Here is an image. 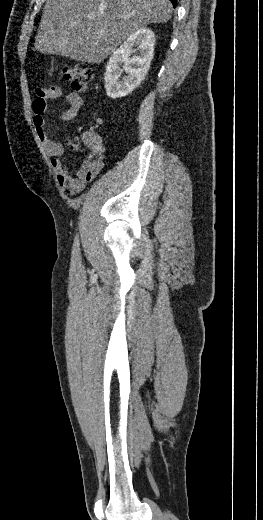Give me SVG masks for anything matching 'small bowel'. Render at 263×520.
I'll list each match as a JSON object with an SVG mask.
<instances>
[{
  "label": "small bowel",
  "instance_id": "1",
  "mask_svg": "<svg viewBox=\"0 0 263 520\" xmlns=\"http://www.w3.org/2000/svg\"><path fill=\"white\" fill-rule=\"evenodd\" d=\"M62 96L63 91L59 86L36 88L35 98L32 103L33 125L51 160V165L59 185L66 193L73 195L82 191L100 173L103 168L104 150L100 135L94 131H88L83 135L84 143L89 148L86 159L73 171L63 164L61 156L64 153V147L61 143L52 140L47 135L44 117L48 102ZM64 98L67 108L62 112L61 119L71 121L77 117L84 100L79 94L74 92L66 94Z\"/></svg>",
  "mask_w": 263,
  "mask_h": 520
}]
</instances>
